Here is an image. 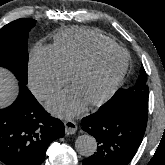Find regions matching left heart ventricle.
<instances>
[{"label":"left heart ventricle","mask_w":165,"mask_h":165,"mask_svg":"<svg viewBox=\"0 0 165 165\" xmlns=\"http://www.w3.org/2000/svg\"><path fill=\"white\" fill-rule=\"evenodd\" d=\"M123 63L124 56L120 52L104 53L77 77L73 86L86 102L94 100L106 90Z\"/></svg>","instance_id":"left-heart-ventricle-1"}]
</instances>
